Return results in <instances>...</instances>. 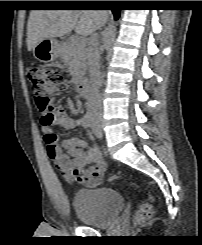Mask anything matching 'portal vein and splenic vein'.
<instances>
[{
    "label": "portal vein and splenic vein",
    "instance_id": "obj_1",
    "mask_svg": "<svg viewBox=\"0 0 202 245\" xmlns=\"http://www.w3.org/2000/svg\"><path fill=\"white\" fill-rule=\"evenodd\" d=\"M76 43L85 44V40L81 37L76 38Z\"/></svg>",
    "mask_w": 202,
    "mask_h": 245
}]
</instances>
